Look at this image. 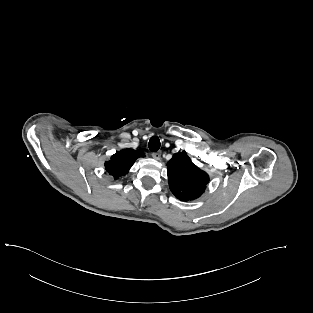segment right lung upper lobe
Returning a JSON list of instances; mask_svg holds the SVG:
<instances>
[{"label":"right lung upper lobe","instance_id":"obj_1","mask_svg":"<svg viewBox=\"0 0 313 313\" xmlns=\"http://www.w3.org/2000/svg\"><path fill=\"white\" fill-rule=\"evenodd\" d=\"M144 157L141 150L123 149L112 155L111 159L105 163L106 171L117 180L126 175L137 158Z\"/></svg>","mask_w":313,"mask_h":313}]
</instances>
